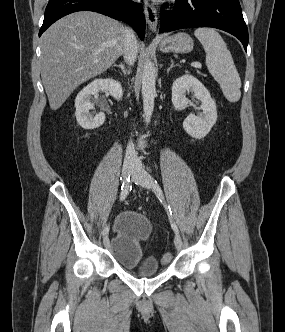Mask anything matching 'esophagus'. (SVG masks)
Masks as SVG:
<instances>
[{"label":"esophagus","mask_w":285,"mask_h":332,"mask_svg":"<svg viewBox=\"0 0 285 332\" xmlns=\"http://www.w3.org/2000/svg\"><path fill=\"white\" fill-rule=\"evenodd\" d=\"M144 13L149 29L155 33L157 30V10L147 0L144 1Z\"/></svg>","instance_id":"esophagus-1"}]
</instances>
